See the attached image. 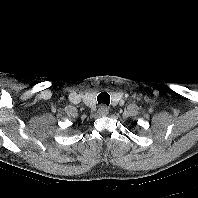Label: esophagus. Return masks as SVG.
Listing matches in <instances>:
<instances>
[{"instance_id":"1","label":"esophagus","mask_w":198,"mask_h":198,"mask_svg":"<svg viewBox=\"0 0 198 198\" xmlns=\"http://www.w3.org/2000/svg\"><path fill=\"white\" fill-rule=\"evenodd\" d=\"M109 113V108L106 105H101L98 109L99 116H106Z\"/></svg>"}]
</instances>
